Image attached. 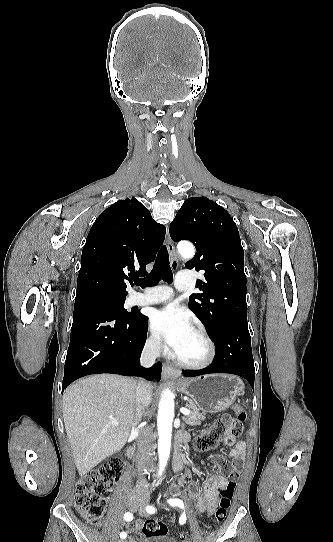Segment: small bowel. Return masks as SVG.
I'll list each match as a JSON object with an SVG mask.
<instances>
[{
	"label": "small bowel",
	"instance_id": "c3829d8e",
	"mask_svg": "<svg viewBox=\"0 0 333 542\" xmlns=\"http://www.w3.org/2000/svg\"><path fill=\"white\" fill-rule=\"evenodd\" d=\"M183 436V442L187 443L190 439V436L187 434H182ZM224 443L227 446L232 447V449L229 452V455L236 459V458H242L245 454V448L246 443L243 440H237L236 437L232 435H228L225 437ZM214 460H216L218 457L214 455L212 457ZM191 480V472L190 470H186L185 473H183L177 482L173 483L171 485V490L175 493H179L181 490V487L190 482ZM235 485L236 479L230 478L227 479L226 477L219 475L217 472H212L210 476L207 478L205 483L203 484L202 488L195 494V504L196 508L199 512H206L208 514H213L217 503H218V496L219 491L225 488L228 485ZM124 530L128 532L132 531H139L141 529V523L139 521H136L134 523H125L123 525ZM128 542H136V539L134 537H130Z\"/></svg>",
	"mask_w": 333,
	"mask_h": 542
}]
</instances>
